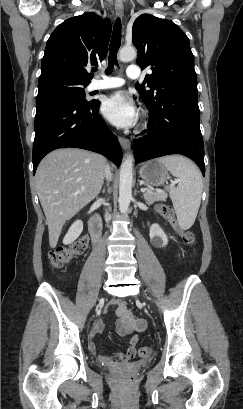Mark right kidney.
<instances>
[{"label": "right kidney", "mask_w": 243, "mask_h": 409, "mask_svg": "<svg viewBox=\"0 0 243 409\" xmlns=\"http://www.w3.org/2000/svg\"><path fill=\"white\" fill-rule=\"evenodd\" d=\"M83 231V222L81 220H76L71 227L69 228L67 234L63 239L65 245L71 244L74 242Z\"/></svg>", "instance_id": "right-kidney-1"}]
</instances>
